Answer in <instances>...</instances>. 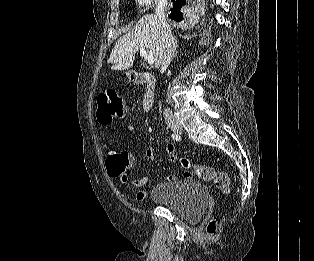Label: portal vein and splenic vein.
Masks as SVG:
<instances>
[{"mask_svg":"<svg viewBox=\"0 0 314 261\" xmlns=\"http://www.w3.org/2000/svg\"><path fill=\"white\" fill-rule=\"evenodd\" d=\"M140 55L142 57H144L145 61L149 64V65H153L155 60H154V56L152 54H148L146 49L144 47L140 48Z\"/></svg>","mask_w":314,"mask_h":261,"instance_id":"portal-vein-and-splenic-vein-1","label":"portal vein and splenic vein"}]
</instances>
